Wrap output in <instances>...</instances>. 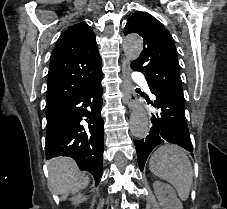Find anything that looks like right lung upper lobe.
Instances as JSON below:
<instances>
[{"instance_id":"1","label":"right lung upper lobe","mask_w":227,"mask_h":209,"mask_svg":"<svg viewBox=\"0 0 227 209\" xmlns=\"http://www.w3.org/2000/svg\"><path fill=\"white\" fill-rule=\"evenodd\" d=\"M86 69L80 73L79 70ZM101 71V58L95 35L89 25L70 26L59 37L50 57L46 109L81 90Z\"/></svg>"}]
</instances>
